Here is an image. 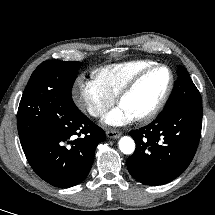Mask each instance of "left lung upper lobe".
Here are the masks:
<instances>
[{
  "instance_id": "5c2ea615",
  "label": "left lung upper lobe",
  "mask_w": 215,
  "mask_h": 215,
  "mask_svg": "<svg viewBox=\"0 0 215 215\" xmlns=\"http://www.w3.org/2000/svg\"><path fill=\"white\" fill-rule=\"evenodd\" d=\"M189 107L202 110V99L187 70L178 66V80L164 109Z\"/></svg>"
}]
</instances>
